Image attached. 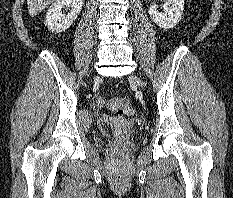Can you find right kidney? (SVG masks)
<instances>
[{"label":"right kidney","instance_id":"1","mask_svg":"<svg viewBox=\"0 0 233 198\" xmlns=\"http://www.w3.org/2000/svg\"><path fill=\"white\" fill-rule=\"evenodd\" d=\"M71 7L67 15L62 9ZM83 6V0H56L48 9L44 24L52 32H62L68 29L77 19Z\"/></svg>","mask_w":233,"mask_h":198}]
</instances>
